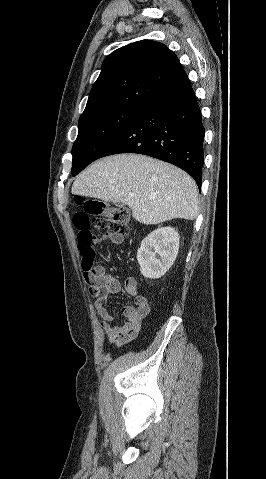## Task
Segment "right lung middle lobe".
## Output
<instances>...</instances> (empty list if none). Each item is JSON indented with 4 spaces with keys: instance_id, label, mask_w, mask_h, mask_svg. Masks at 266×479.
Segmentation results:
<instances>
[{
    "instance_id": "1",
    "label": "right lung middle lobe",
    "mask_w": 266,
    "mask_h": 479,
    "mask_svg": "<svg viewBox=\"0 0 266 479\" xmlns=\"http://www.w3.org/2000/svg\"><path fill=\"white\" fill-rule=\"evenodd\" d=\"M142 109H114L79 119V132L72 147V175L99 158L105 148Z\"/></svg>"
}]
</instances>
